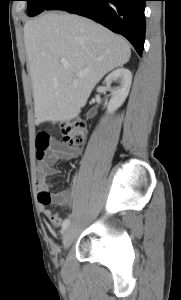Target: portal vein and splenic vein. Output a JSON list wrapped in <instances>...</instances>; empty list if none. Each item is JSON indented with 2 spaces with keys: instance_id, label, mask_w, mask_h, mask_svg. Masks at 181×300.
<instances>
[{
  "instance_id": "portal-vein-and-splenic-vein-1",
  "label": "portal vein and splenic vein",
  "mask_w": 181,
  "mask_h": 300,
  "mask_svg": "<svg viewBox=\"0 0 181 300\" xmlns=\"http://www.w3.org/2000/svg\"><path fill=\"white\" fill-rule=\"evenodd\" d=\"M61 63H62V65H63V67H64L65 69H69V63H68L67 61L62 60ZM84 74H86V72H83V71H82V72H79V73H78V75H80V76H81V75H84Z\"/></svg>"
}]
</instances>
